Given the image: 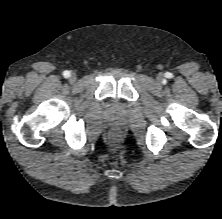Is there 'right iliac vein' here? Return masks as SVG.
Instances as JSON below:
<instances>
[{
  "instance_id": "63e3f726",
  "label": "right iliac vein",
  "mask_w": 222,
  "mask_h": 219,
  "mask_svg": "<svg viewBox=\"0 0 222 219\" xmlns=\"http://www.w3.org/2000/svg\"><path fill=\"white\" fill-rule=\"evenodd\" d=\"M70 82H75L77 80V75L75 73H71L69 76Z\"/></svg>"
}]
</instances>
